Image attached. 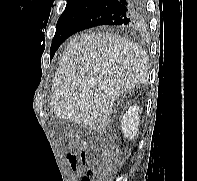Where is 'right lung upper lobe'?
<instances>
[{"mask_svg":"<svg viewBox=\"0 0 197 181\" xmlns=\"http://www.w3.org/2000/svg\"><path fill=\"white\" fill-rule=\"evenodd\" d=\"M98 1L99 0H67V5H66L65 10H71V9H75L78 7H88L89 8L90 6H92L93 4H95ZM133 28L134 27H121L118 29L121 31H129Z\"/></svg>","mask_w":197,"mask_h":181,"instance_id":"right-lung-upper-lobe-1","label":"right lung upper lobe"}]
</instances>
